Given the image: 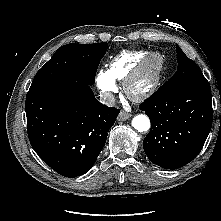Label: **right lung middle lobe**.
I'll list each match as a JSON object with an SVG mask.
<instances>
[{
    "instance_id": "obj_1",
    "label": "right lung middle lobe",
    "mask_w": 221,
    "mask_h": 221,
    "mask_svg": "<svg viewBox=\"0 0 221 221\" xmlns=\"http://www.w3.org/2000/svg\"><path fill=\"white\" fill-rule=\"evenodd\" d=\"M107 43L67 44L37 72L29 91L66 82L94 84Z\"/></svg>"
}]
</instances>
